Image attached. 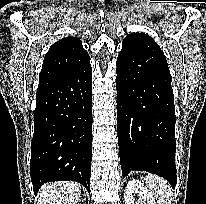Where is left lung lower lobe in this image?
<instances>
[{
  "label": "left lung lower lobe",
  "instance_id": "1",
  "mask_svg": "<svg viewBox=\"0 0 206 204\" xmlns=\"http://www.w3.org/2000/svg\"><path fill=\"white\" fill-rule=\"evenodd\" d=\"M133 71L117 58V132L122 175L141 170L165 178L174 188L175 107L168 66L143 60Z\"/></svg>",
  "mask_w": 206,
  "mask_h": 204
}]
</instances>
